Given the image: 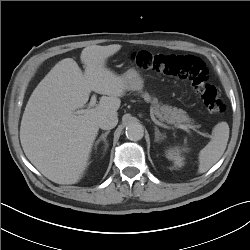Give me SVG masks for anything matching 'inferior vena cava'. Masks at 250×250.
<instances>
[{"mask_svg": "<svg viewBox=\"0 0 250 250\" xmlns=\"http://www.w3.org/2000/svg\"><path fill=\"white\" fill-rule=\"evenodd\" d=\"M118 123V117L116 115L103 116L98 121V126L103 130H110L114 128Z\"/></svg>", "mask_w": 250, "mask_h": 250, "instance_id": "602c4592", "label": "inferior vena cava"}]
</instances>
